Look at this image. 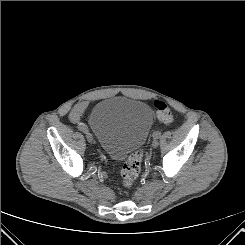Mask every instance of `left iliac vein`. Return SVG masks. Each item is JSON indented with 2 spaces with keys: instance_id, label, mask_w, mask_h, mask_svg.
<instances>
[{
  "instance_id": "1",
  "label": "left iliac vein",
  "mask_w": 245,
  "mask_h": 245,
  "mask_svg": "<svg viewBox=\"0 0 245 245\" xmlns=\"http://www.w3.org/2000/svg\"><path fill=\"white\" fill-rule=\"evenodd\" d=\"M158 145H159L158 140H157V139H154L153 142H152V147H153V148H157Z\"/></svg>"
}]
</instances>
